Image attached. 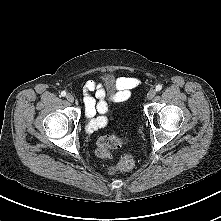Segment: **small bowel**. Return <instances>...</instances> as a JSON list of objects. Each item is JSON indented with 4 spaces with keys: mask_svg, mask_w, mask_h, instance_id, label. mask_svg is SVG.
<instances>
[{
    "mask_svg": "<svg viewBox=\"0 0 221 221\" xmlns=\"http://www.w3.org/2000/svg\"><path fill=\"white\" fill-rule=\"evenodd\" d=\"M138 80L130 77H121L115 80L116 91L111 95V100L115 102H122L127 100L132 93V90L137 86ZM86 97L84 99L86 116L91 118L88 131L103 127L106 125L110 114V109L108 104L104 100L105 90L104 88L93 80H90L85 85ZM95 93L96 98L99 99L98 102L90 95V93ZM96 112L102 114L97 118H94Z\"/></svg>",
    "mask_w": 221,
    "mask_h": 221,
    "instance_id": "small-bowel-1",
    "label": "small bowel"
}]
</instances>
